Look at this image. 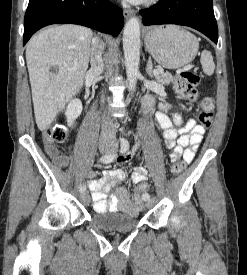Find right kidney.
I'll use <instances>...</instances> for the list:
<instances>
[{
  "instance_id": "right-kidney-1",
  "label": "right kidney",
  "mask_w": 247,
  "mask_h": 275,
  "mask_svg": "<svg viewBox=\"0 0 247 275\" xmlns=\"http://www.w3.org/2000/svg\"><path fill=\"white\" fill-rule=\"evenodd\" d=\"M82 109V102L79 99H73L69 102L65 112L69 126H72L74 121L80 116Z\"/></svg>"
}]
</instances>
